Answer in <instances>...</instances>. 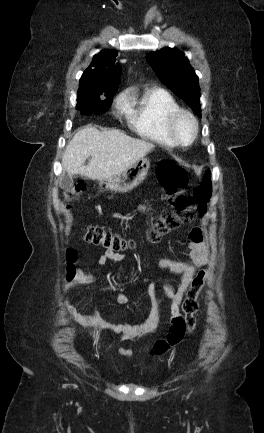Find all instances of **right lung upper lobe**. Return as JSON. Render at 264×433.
<instances>
[{"label":"right lung upper lobe","instance_id":"1","mask_svg":"<svg viewBox=\"0 0 264 433\" xmlns=\"http://www.w3.org/2000/svg\"><path fill=\"white\" fill-rule=\"evenodd\" d=\"M116 56L114 51L103 50L93 57L92 63L81 76L77 99L99 98L117 91L122 70L115 63Z\"/></svg>","mask_w":264,"mask_h":433}]
</instances>
